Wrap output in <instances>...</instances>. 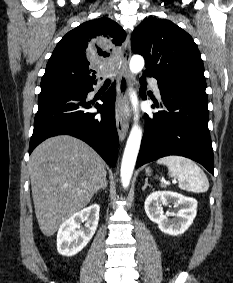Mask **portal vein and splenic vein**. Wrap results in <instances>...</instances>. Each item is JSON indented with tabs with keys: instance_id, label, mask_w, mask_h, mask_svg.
Returning a JSON list of instances; mask_svg holds the SVG:
<instances>
[{
	"instance_id": "1",
	"label": "portal vein and splenic vein",
	"mask_w": 233,
	"mask_h": 283,
	"mask_svg": "<svg viewBox=\"0 0 233 283\" xmlns=\"http://www.w3.org/2000/svg\"><path fill=\"white\" fill-rule=\"evenodd\" d=\"M173 183L175 184V183H176V180H173Z\"/></svg>"
}]
</instances>
